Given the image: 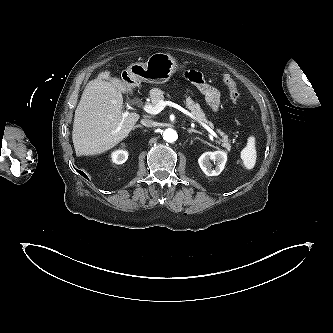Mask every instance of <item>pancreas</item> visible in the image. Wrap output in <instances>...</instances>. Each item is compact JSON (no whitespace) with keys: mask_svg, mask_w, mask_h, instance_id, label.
<instances>
[{"mask_svg":"<svg viewBox=\"0 0 333 333\" xmlns=\"http://www.w3.org/2000/svg\"><path fill=\"white\" fill-rule=\"evenodd\" d=\"M150 98L152 101V105H157L161 100H164V92L161 89L153 88L150 90ZM168 98H170V95H166ZM186 107L191 111V113L196 116L200 121L208 123L205 113L202 111L200 105L198 103H195L190 97L185 96V100H183ZM218 132L223 137L222 139V146L227 150L230 151L231 146L228 142V137L224 135L223 132L218 130Z\"/></svg>","mask_w":333,"mask_h":333,"instance_id":"1","label":"pancreas"}]
</instances>
